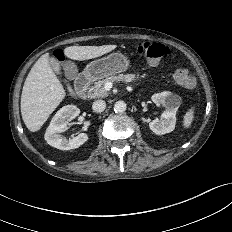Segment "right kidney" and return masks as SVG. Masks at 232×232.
Instances as JSON below:
<instances>
[{
    "label": "right kidney",
    "instance_id": "1",
    "mask_svg": "<svg viewBox=\"0 0 232 232\" xmlns=\"http://www.w3.org/2000/svg\"><path fill=\"white\" fill-rule=\"evenodd\" d=\"M80 114V109L75 105L62 107L52 118L45 133V140L49 145L60 150L75 149L88 140L86 133H80L76 137L67 140L60 133L65 131L67 123Z\"/></svg>",
    "mask_w": 232,
    "mask_h": 232
}]
</instances>
